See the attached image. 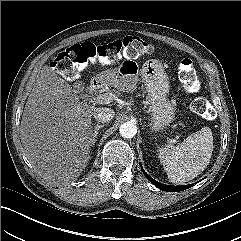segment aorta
<instances>
[{
	"label": "aorta",
	"instance_id": "762f6f07",
	"mask_svg": "<svg viewBox=\"0 0 241 241\" xmlns=\"http://www.w3.org/2000/svg\"><path fill=\"white\" fill-rule=\"evenodd\" d=\"M119 132H120V135L123 137V138H133L136 133H137V127L134 123L132 122H125L123 124L120 125L119 127Z\"/></svg>",
	"mask_w": 241,
	"mask_h": 241
}]
</instances>
